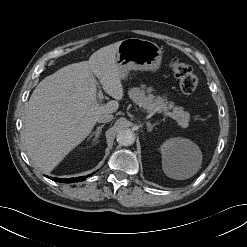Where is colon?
<instances>
[{
    "mask_svg": "<svg viewBox=\"0 0 247 247\" xmlns=\"http://www.w3.org/2000/svg\"><path fill=\"white\" fill-rule=\"evenodd\" d=\"M170 68L178 79L180 89L185 94H192L197 88V78L194 75L191 67L178 59H172Z\"/></svg>",
    "mask_w": 247,
    "mask_h": 247,
    "instance_id": "obj_1",
    "label": "colon"
}]
</instances>
